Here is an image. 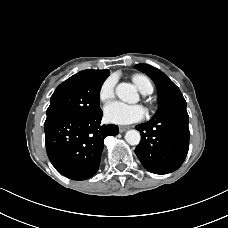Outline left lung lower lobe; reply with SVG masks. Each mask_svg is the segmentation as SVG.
I'll use <instances>...</instances> for the list:
<instances>
[{"mask_svg":"<svg viewBox=\"0 0 228 228\" xmlns=\"http://www.w3.org/2000/svg\"><path fill=\"white\" fill-rule=\"evenodd\" d=\"M136 129L141 133V141L135 153L144 168L155 174H167L182 165L190 135L186 104L177 105Z\"/></svg>","mask_w":228,"mask_h":228,"instance_id":"0a47b994","label":"left lung lower lobe"}]
</instances>
